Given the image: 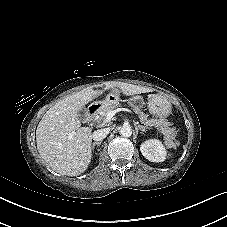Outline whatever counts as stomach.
<instances>
[{
  "label": "stomach",
  "mask_w": 227,
  "mask_h": 227,
  "mask_svg": "<svg viewBox=\"0 0 227 227\" xmlns=\"http://www.w3.org/2000/svg\"><path fill=\"white\" fill-rule=\"evenodd\" d=\"M120 99V91L117 88L107 95L105 101L100 102L101 104H116ZM131 103H142L141 97L135 96L130 99ZM148 108L150 112L157 118H166L171 113V103L168 99L161 94H151L148 97Z\"/></svg>",
  "instance_id": "1"
}]
</instances>
